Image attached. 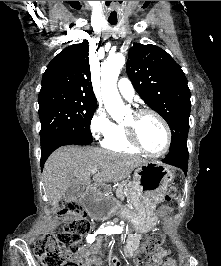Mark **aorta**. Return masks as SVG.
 <instances>
[{"label": "aorta", "instance_id": "762f6f07", "mask_svg": "<svg viewBox=\"0 0 221 266\" xmlns=\"http://www.w3.org/2000/svg\"><path fill=\"white\" fill-rule=\"evenodd\" d=\"M125 64L122 53L110 55L101 67V93L105 109L113 119L119 120L126 113V108L117 89V79ZM121 230L122 227H113Z\"/></svg>", "mask_w": 221, "mask_h": 266}]
</instances>
